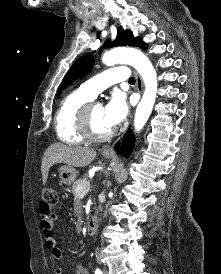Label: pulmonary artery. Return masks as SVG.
Listing matches in <instances>:
<instances>
[{"label":"pulmonary artery","instance_id":"1","mask_svg":"<svg viewBox=\"0 0 221 274\" xmlns=\"http://www.w3.org/2000/svg\"><path fill=\"white\" fill-rule=\"evenodd\" d=\"M130 72L126 67H115L108 69L81 85V89L95 98L101 91L121 81L128 80Z\"/></svg>","mask_w":221,"mask_h":274}]
</instances>
